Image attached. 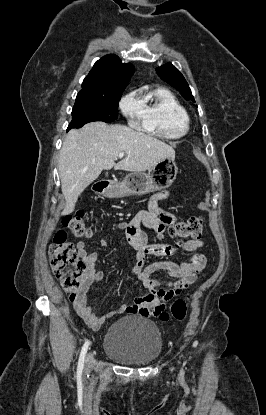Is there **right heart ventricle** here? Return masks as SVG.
I'll return each mask as SVG.
<instances>
[{
  "instance_id": "right-heart-ventricle-1",
  "label": "right heart ventricle",
  "mask_w": 266,
  "mask_h": 415,
  "mask_svg": "<svg viewBox=\"0 0 266 415\" xmlns=\"http://www.w3.org/2000/svg\"><path fill=\"white\" fill-rule=\"evenodd\" d=\"M142 127L147 132L166 139H176L189 130V116L185 107L167 89L157 88L141 98Z\"/></svg>"
}]
</instances>
